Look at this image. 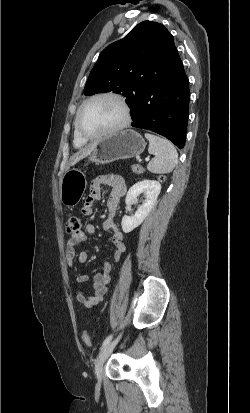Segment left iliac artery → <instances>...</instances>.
Returning <instances> with one entry per match:
<instances>
[{"instance_id":"obj_1","label":"left iliac artery","mask_w":250,"mask_h":413,"mask_svg":"<svg viewBox=\"0 0 250 413\" xmlns=\"http://www.w3.org/2000/svg\"><path fill=\"white\" fill-rule=\"evenodd\" d=\"M112 337H113V334H111V335H109L108 337H106V339L103 341L102 348H103L104 346H106V345L111 341Z\"/></svg>"}]
</instances>
